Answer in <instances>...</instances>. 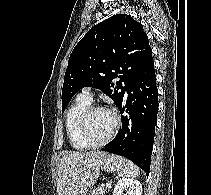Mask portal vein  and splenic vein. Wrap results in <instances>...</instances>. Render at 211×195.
<instances>
[{
    "label": "portal vein and splenic vein",
    "instance_id": "portal-vein-and-splenic-vein-1",
    "mask_svg": "<svg viewBox=\"0 0 211 195\" xmlns=\"http://www.w3.org/2000/svg\"><path fill=\"white\" fill-rule=\"evenodd\" d=\"M105 186L106 188H111V183H107Z\"/></svg>",
    "mask_w": 211,
    "mask_h": 195
}]
</instances>
